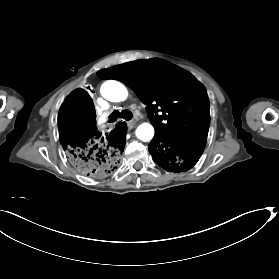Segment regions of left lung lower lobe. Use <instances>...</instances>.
<instances>
[{
	"instance_id": "obj_1",
	"label": "left lung lower lobe",
	"mask_w": 279,
	"mask_h": 279,
	"mask_svg": "<svg viewBox=\"0 0 279 279\" xmlns=\"http://www.w3.org/2000/svg\"><path fill=\"white\" fill-rule=\"evenodd\" d=\"M205 144L201 141H175L155 135L148 149L157 165L166 171L179 173L197 163Z\"/></svg>"
}]
</instances>
